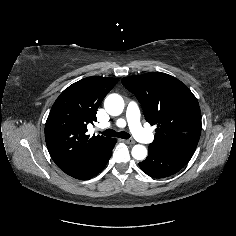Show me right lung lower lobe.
Wrapping results in <instances>:
<instances>
[{"label": "right lung lower lobe", "mask_w": 236, "mask_h": 236, "mask_svg": "<svg viewBox=\"0 0 236 236\" xmlns=\"http://www.w3.org/2000/svg\"><path fill=\"white\" fill-rule=\"evenodd\" d=\"M115 144L116 139L109 138L79 170L70 176L80 180H87L96 176L106 166Z\"/></svg>", "instance_id": "98d812e1"}]
</instances>
